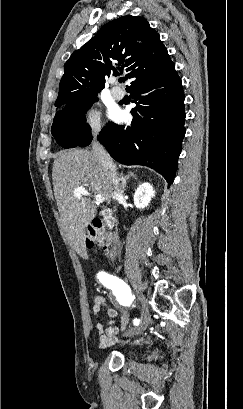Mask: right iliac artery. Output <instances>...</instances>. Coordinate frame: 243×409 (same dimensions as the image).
I'll return each mask as SVG.
<instances>
[{
	"mask_svg": "<svg viewBox=\"0 0 243 409\" xmlns=\"http://www.w3.org/2000/svg\"><path fill=\"white\" fill-rule=\"evenodd\" d=\"M97 278L105 287L112 290L120 304L128 306L133 302L135 297L132 295L129 286L123 280L106 272H99ZM139 323V319H134V325H139Z\"/></svg>",
	"mask_w": 243,
	"mask_h": 409,
	"instance_id": "82829eb1",
	"label": "right iliac artery"
}]
</instances>
